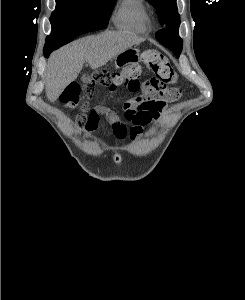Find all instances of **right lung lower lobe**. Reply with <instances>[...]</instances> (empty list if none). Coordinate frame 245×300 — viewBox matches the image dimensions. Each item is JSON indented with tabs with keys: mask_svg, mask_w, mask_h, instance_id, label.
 I'll return each mask as SVG.
<instances>
[{
	"mask_svg": "<svg viewBox=\"0 0 245 300\" xmlns=\"http://www.w3.org/2000/svg\"><path fill=\"white\" fill-rule=\"evenodd\" d=\"M106 27L105 24H103L102 22L96 21V20H90V21H86L84 22V24L82 25V34L83 33H87V32H91V31H97V30H101L104 29ZM54 49H43V53L44 56L46 58H48L49 54L53 51Z\"/></svg>",
	"mask_w": 245,
	"mask_h": 300,
	"instance_id": "98d812e1",
	"label": "right lung lower lobe"
}]
</instances>
